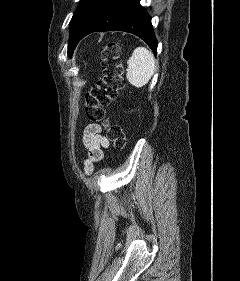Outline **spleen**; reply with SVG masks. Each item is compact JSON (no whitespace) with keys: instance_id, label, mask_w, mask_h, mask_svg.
<instances>
[{"instance_id":"3e777b00","label":"spleen","mask_w":240,"mask_h":281,"mask_svg":"<svg viewBox=\"0 0 240 281\" xmlns=\"http://www.w3.org/2000/svg\"><path fill=\"white\" fill-rule=\"evenodd\" d=\"M127 64L126 78L135 88L144 87L155 71L154 56L145 47L135 48Z\"/></svg>"}]
</instances>
